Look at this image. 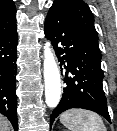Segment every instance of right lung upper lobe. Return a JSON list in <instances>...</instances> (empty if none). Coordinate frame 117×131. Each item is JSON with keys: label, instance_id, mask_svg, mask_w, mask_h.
<instances>
[{"label": "right lung upper lobe", "instance_id": "cb5924a9", "mask_svg": "<svg viewBox=\"0 0 117 131\" xmlns=\"http://www.w3.org/2000/svg\"><path fill=\"white\" fill-rule=\"evenodd\" d=\"M16 27V8L12 0H0V36Z\"/></svg>", "mask_w": 117, "mask_h": 131}]
</instances>
